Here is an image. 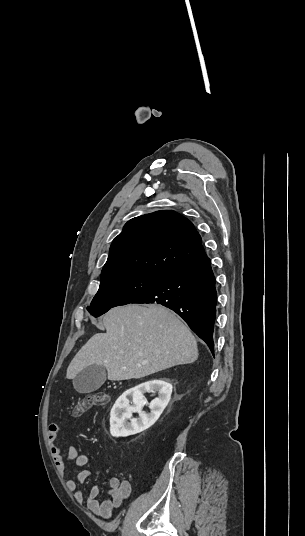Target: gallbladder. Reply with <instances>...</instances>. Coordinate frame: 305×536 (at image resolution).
Returning <instances> with one entry per match:
<instances>
[{
	"instance_id": "obj_1",
	"label": "gallbladder",
	"mask_w": 305,
	"mask_h": 536,
	"mask_svg": "<svg viewBox=\"0 0 305 536\" xmlns=\"http://www.w3.org/2000/svg\"><path fill=\"white\" fill-rule=\"evenodd\" d=\"M104 382H106L105 366H99V364H91L83 368L76 378H73V386L79 394L95 392Z\"/></svg>"
}]
</instances>
